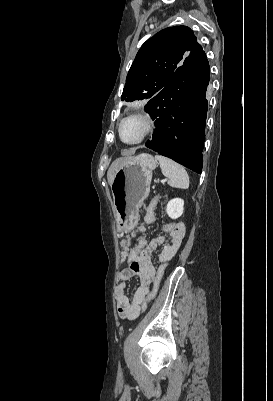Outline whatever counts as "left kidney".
<instances>
[{"instance_id":"obj_1","label":"left kidney","mask_w":273,"mask_h":401,"mask_svg":"<svg viewBox=\"0 0 273 401\" xmlns=\"http://www.w3.org/2000/svg\"><path fill=\"white\" fill-rule=\"evenodd\" d=\"M166 211L171 219H178V217H181L184 211L183 198H172V201H169L167 205Z\"/></svg>"}]
</instances>
